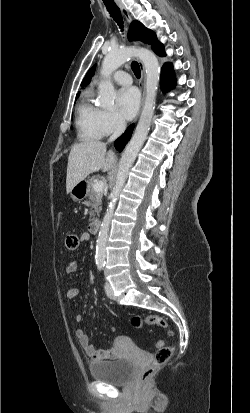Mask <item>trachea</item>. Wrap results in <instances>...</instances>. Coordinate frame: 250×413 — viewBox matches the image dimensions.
Masks as SVG:
<instances>
[{"mask_svg":"<svg viewBox=\"0 0 250 413\" xmlns=\"http://www.w3.org/2000/svg\"><path fill=\"white\" fill-rule=\"evenodd\" d=\"M105 6L107 8V11L109 12L110 16L113 18V20L117 23V25L120 27L121 31H123V18L120 12V9L115 3H105ZM131 68L137 78H140L141 76V71H140V66L136 61H133L131 63Z\"/></svg>","mask_w":250,"mask_h":413,"instance_id":"3493384b","label":"trachea"}]
</instances>
